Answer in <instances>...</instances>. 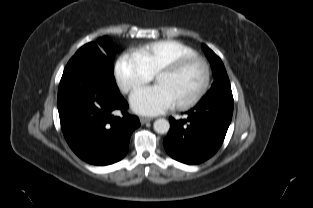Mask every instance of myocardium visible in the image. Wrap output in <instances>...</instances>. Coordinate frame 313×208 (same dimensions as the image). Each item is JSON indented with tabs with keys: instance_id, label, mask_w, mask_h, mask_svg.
Masks as SVG:
<instances>
[{
	"instance_id": "1",
	"label": "myocardium",
	"mask_w": 313,
	"mask_h": 208,
	"mask_svg": "<svg viewBox=\"0 0 313 208\" xmlns=\"http://www.w3.org/2000/svg\"><path fill=\"white\" fill-rule=\"evenodd\" d=\"M198 63L202 66L203 69V81L199 88V90L194 94L192 97H190L187 100L180 101L175 103V106L178 109H188L194 105H196L206 94L210 81H211V71L209 63L204 59L203 57L199 55H191V56H185L176 59L175 61L164 65L161 67L155 74V77L160 74H169L174 75L185 69L187 66Z\"/></svg>"
}]
</instances>
